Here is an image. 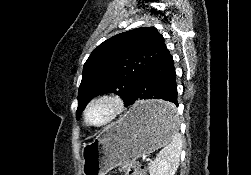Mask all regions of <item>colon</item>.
Instances as JSON below:
<instances>
[{"label":"colon","instance_id":"1","mask_svg":"<svg viewBox=\"0 0 251 175\" xmlns=\"http://www.w3.org/2000/svg\"><path fill=\"white\" fill-rule=\"evenodd\" d=\"M118 170L121 175H147L146 168L137 160L122 163Z\"/></svg>","mask_w":251,"mask_h":175}]
</instances>
